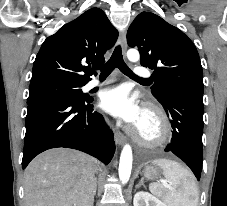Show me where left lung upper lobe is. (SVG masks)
<instances>
[{"instance_id": "1", "label": "left lung upper lobe", "mask_w": 227, "mask_h": 206, "mask_svg": "<svg viewBox=\"0 0 227 206\" xmlns=\"http://www.w3.org/2000/svg\"><path fill=\"white\" fill-rule=\"evenodd\" d=\"M127 42L138 47L142 66L155 69L151 92L160 103L174 94L203 96L198 52L181 30L153 13L142 12L130 25Z\"/></svg>"}]
</instances>
